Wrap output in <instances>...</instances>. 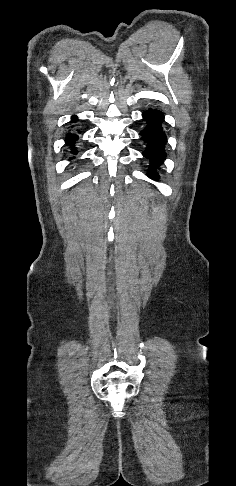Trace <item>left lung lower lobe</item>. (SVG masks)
I'll return each instance as SVG.
<instances>
[{
	"label": "left lung lower lobe",
	"instance_id": "obj_1",
	"mask_svg": "<svg viewBox=\"0 0 236 486\" xmlns=\"http://www.w3.org/2000/svg\"><path fill=\"white\" fill-rule=\"evenodd\" d=\"M142 116L147 122L146 127L140 132V135L142 136L141 139L147 145L146 150L143 151V155L150 161L148 176L152 179H158L159 175L156 169L166 158L165 145L167 137L162 127L164 115L157 109H149Z\"/></svg>",
	"mask_w": 236,
	"mask_h": 486
}]
</instances>
